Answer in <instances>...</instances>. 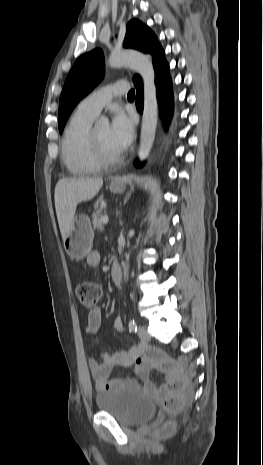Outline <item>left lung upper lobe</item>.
<instances>
[{"mask_svg":"<svg viewBox=\"0 0 263 465\" xmlns=\"http://www.w3.org/2000/svg\"><path fill=\"white\" fill-rule=\"evenodd\" d=\"M123 46L143 53L152 54L159 44L155 34L139 20L133 19L126 26ZM104 55L95 49L80 56L74 63L60 95L58 111L59 132L77 103L85 97L103 78Z\"/></svg>","mask_w":263,"mask_h":465,"instance_id":"left-lung-upper-lobe-1","label":"left lung upper lobe"}]
</instances>
